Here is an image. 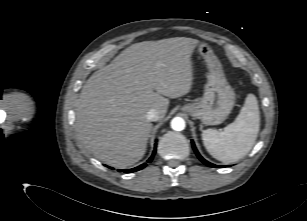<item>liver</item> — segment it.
<instances>
[{
  "mask_svg": "<svg viewBox=\"0 0 307 221\" xmlns=\"http://www.w3.org/2000/svg\"><path fill=\"white\" fill-rule=\"evenodd\" d=\"M198 44L186 37L136 43L94 72L76 103L80 142L116 168L141 160L152 129L146 114L156 109L162 120L169 98L189 93L191 55Z\"/></svg>",
  "mask_w": 307,
  "mask_h": 221,
  "instance_id": "6515ba94",
  "label": "liver"
}]
</instances>
